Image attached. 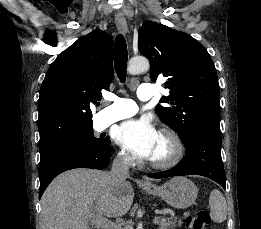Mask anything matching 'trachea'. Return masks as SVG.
I'll return each instance as SVG.
<instances>
[{"label": "trachea", "mask_w": 261, "mask_h": 229, "mask_svg": "<svg viewBox=\"0 0 261 229\" xmlns=\"http://www.w3.org/2000/svg\"><path fill=\"white\" fill-rule=\"evenodd\" d=\"M127 61L128 51L126 41L123 35L119 34L115 39L114 64L120 82H125L126 80Z\"/></svg>", "instance_id": "3493384b"}]
</instances>
